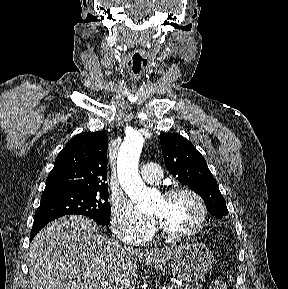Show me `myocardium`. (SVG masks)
<instances>
[{
	"instance_id": "obj_1",
	"label": "myocardium",
	"mask_w": 288,
	"mask_h": 289,
	"mask_svg": "<svg viewBox=\"0 0 288 289\" xmlns=\"http://www.w3.org/2000/svg\"><path fill=\"white\" fill-rule=\"evenodd\" d=\"M180 195H188L196 201L200 210V219L192 230L183 233H176L170 230L161 220L153 217L158 230L165 237L171 240H187L197 236L205 228L208 221V212L205 201L202 196L195 190L187 187L172 188L164 192L162 198L168 201Z\"/></svg>"
}]
</instances>
